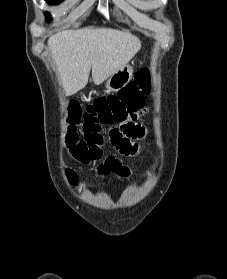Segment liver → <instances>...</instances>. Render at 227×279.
<instances>
[{"label":"liver","instance_id":"6515ba94","mask_svg":"<svg viewBox=\"0 0 227 279\" xmlns=\"http://www.w3.org/2000/svg\"><path fill=\"white\" fill-rule=\"evenodd\" d=\"M141 41L128 30L86 27L64 30L48 40L66 96L83 89L92 71L99 85L126 65L140 50Z\"/></svg>","mask_w":227,"mask_h":279}]
</instances>
